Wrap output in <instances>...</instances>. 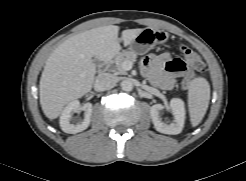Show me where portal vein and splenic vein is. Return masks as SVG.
Returning a JSON list of instances; mask_svg holds the SVG:
<instances>
[{
  "mask_svg": "<svg viewBox=\"0 0 246 181\" xmlns=\"http://www.w3.org/2000/svg\"><path fill=\"white\" fill-rule=\"evenodd\" d=\"M123 68H124L125 70H130V69L132 68V63L129 62V61H125V62L123 63Z\"/></svg>",
  "mask_w": 246,
  "mask_h": 181,
  "instance_id": "obj_1",
  "label": "portal vein and splenic vein"
}]
</instances>
